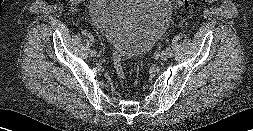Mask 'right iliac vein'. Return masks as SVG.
I'll use <instances>...</instances> for the list:
<instances>
[{
    "label": "right iliac vein",
    "instance_id": "63e3f726",
    "mask_svg": "<svg viewBox=\"0 0 253 131\" xmlns=\"http://www.w3.org/2000/svg\"><path fill=\"white\" fill-rule=\"evenodd\" d=\"M91 55H92V56H98L97 50H95V51H92V50H91Z\"/></svg>",
    "mask_w": 253,
    "mask_h": 131
}]
</instances>
